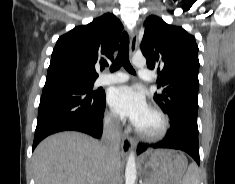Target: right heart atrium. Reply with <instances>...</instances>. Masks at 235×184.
I'll return each mask as SVG.
<instances>
[{"instance_id": "1", "label": "right heart atrium", "mask_w": 235, "mask_h": 184, "mask_svg": "<svg viewBox=\"0 0 235 184\" xmlns=\"http://www.w3.org/2000/svg\"><path fill=\"white\" fill-rule=\"evenodd\" d=\"M106 125L110 131H112L114 133L119 132L118 123L114 119H112L109 115L106 116Z\"/></svg>"}]
</instances>
